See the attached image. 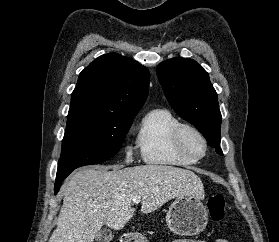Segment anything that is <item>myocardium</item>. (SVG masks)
<instances>
[{"label":"myocardium","mask_w":279,"mask_h":242,"mask_svg":"<svg viewBox=\"0 0 279 242\" xmlns=\"http://www.w3.org/2000/svg\"><path fill=\"white\" fill-rule=\"evenodd\" d=\"M195 136L202 144L203 151L200 155L194 154L187 145V135ZM173 142L177 151L184 157L197 162L205 157L208 151V141L204 134L195 126L180 123L173 132Z\"/></svg>","instance_id":"f54148a6"}]
</instances>
